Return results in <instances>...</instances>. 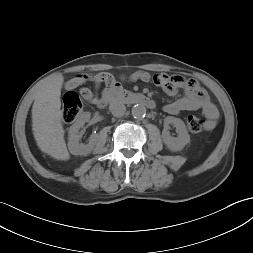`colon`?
<instances>
[{"label":"colon","instance_id":"1","mask_svg":"<svg viewBox=\"0 0 253 253\" xmlns=\"http://www.w3.org/2000/svg\"><path fill=\"white\" fill-rule=\"evenodd\" d=\"M83 109V100L77 93L69 91L64 95L62 117L66 123L73 122ZM187 127L192 133H200L206 129V121L198 116L191 115L187 118Z\"/></svg>","mask_w":253,"mask_h":253}]
</instances>
